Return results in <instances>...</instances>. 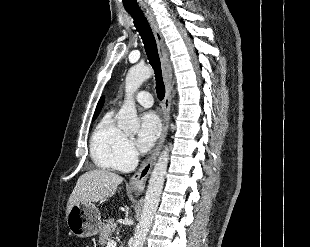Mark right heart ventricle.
I'll use <instances>...</instances> for the list:
<instances>
[{"label": "right heart ventricle", "instance_id": "right-heart-ventricle-1", "mask_svg": "<svg viewBox=\"0 0 310 247\" xmlns=\"http://www.w3.org/2000/svg\"><path fill=\"white\" fill-rule=\"evenodd\" d=\"M125 138L123 131L116 125L114 111L106 112L90 139V154L95 165L101 169H118L120 150Z\"/></svg>", "mask_w": 310, "mask_h": 247}]
</instances>
